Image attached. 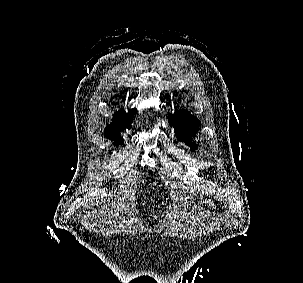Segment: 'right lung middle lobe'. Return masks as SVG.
<instances>
[{
  "instance_id": "dd1d6c3e",
  "label": "right lung middle lobe",
  "mask_w": 303,
  "mask_h": 283,
  "mask_svg": "<svg viewBox=\"0 0 303 283\" xmlns=\"http://www.w3.org/2000/svg\"><path fill=\"white\" fill-rule=\"evenodd\" d=\"M105 136L108 139L114 140V144H122L123 143V139L119 136V134L109 133V134H105Z\"/></svg>"
}]
</instances>
